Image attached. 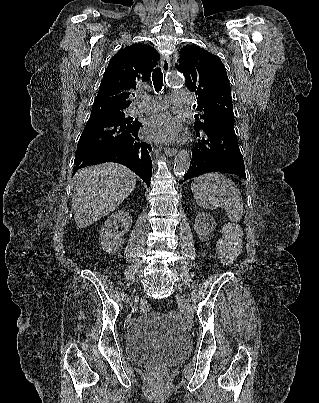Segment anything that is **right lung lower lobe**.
<instances>
[{"label": "right lung lower lobe", "mask_w": 319, "mask_h": 403, "mask_svg": "<svg viewBox=\"0 0 319 403\" xmlns=\"http://www.w3.org/2000/svg\"><path fill=\"white\" fill-rule=\"evenodd\" d=\"M141 126L137 120L89 119L77 145L73 175L85 166L116 162L133 170L149 186L152 149L138 135Z\"/></svg>", "instance_id": "right-lung-lower-lobe-1"}]
</instances>
